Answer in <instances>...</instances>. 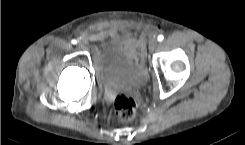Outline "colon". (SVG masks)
I'll return each mask as SVG.
<instances>
[{"label":"colon","mask_w":245,"mask_h":145,"mask_svg":"<svg viewBox=\"0 0 245 145\" xmlns=\"http://www.w3.org/2000/svg\"><path fill=\"white\" fill-rule=\"evenodd\" d=\"M115 115L121 120H130L138 109L137 101L124 92L116 93L113 101Z\"/></svg>","instance_id":"obj_1"}]
</instances>
